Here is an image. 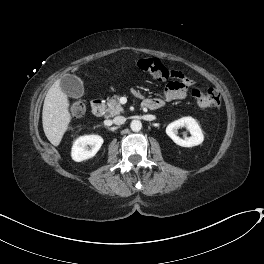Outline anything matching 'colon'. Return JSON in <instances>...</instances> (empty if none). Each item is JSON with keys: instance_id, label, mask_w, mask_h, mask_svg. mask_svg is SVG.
Segmentation results:
<instances>
[{"instance_id": "colon-1", "label": "colon", "mask_w": 264, "mask_h": 264, "mask_svg": "<svg viewBox=\"0 0 264 264\" xmlns=\"http://www.w3.org/2000/svg\"><path fill=\"white\" fill-rule=\"evenodd\" d=\"M136 67L158 80H166L171 76V72L156 58L139 59ZM190 95L196 102L203 107L219 108L221 106V96L215 87H207L205 90L201 88H191ZM84 110L83 104H76L72 107V115L74 118L81 117Z\"/></svg>"}]
</instances>
